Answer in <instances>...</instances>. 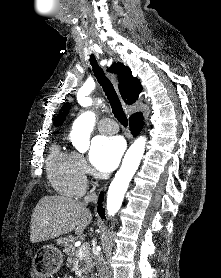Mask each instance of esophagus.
Returning <instances> with one entry per match:
<instances>
[{"instance_id": "1", "label": "esophagus", "mask_w": 221, "mask_h": 278, "mask_svg": "<svg viewBox=\"0 0 221 278\" xmlns=\"http://www.w3.org/2000/svg\"><path fill=\"white\" fill-rule=\"evenodd\" d=\"M107 74H108L109 78L111 79V81L113 82L115 88L118 89V84H117L115 75L114 74H109L108 72H107Z\"/></svg>"}]
</instances>
